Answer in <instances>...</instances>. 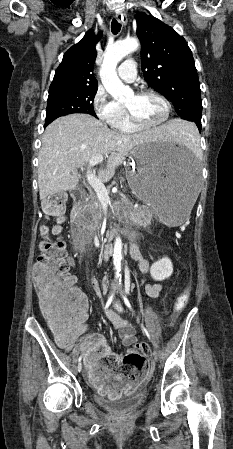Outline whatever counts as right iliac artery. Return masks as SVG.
I'll list each match as a JSON object with an SVG mask.
<instances>
[{
  "instance_id": "82829eb1",
  "label": "right iliac artery",
  "mask_w": 233,
  "mask_h": 449,
  "mask_svg": "<svg viewBox=\"0 0 233 449\" xmlns=\"http://www.w3.org/2000/svg\"><path fill=\"white\" fill-rule=\"evenodd\" d=\"M113 297H114V292L111 294V296L107 300V302H106V304L104 306V310L108 309V307L110 306V304H111V302L113 300ZM81 359H82V356H80L79 359H78L79 363H80Z\"/></svg>"
}]
</instances>
